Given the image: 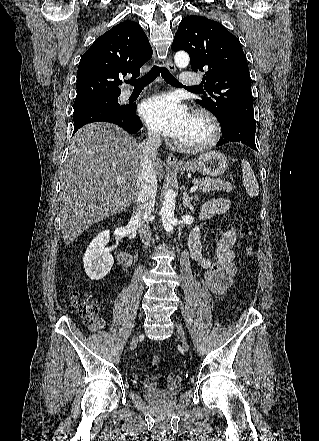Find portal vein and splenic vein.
Listing matches in <instances>:
<instances>
[{"mask_svg":"<svg viewBox=\"0 0 319 441\" xmlns=\"http://www.w3.org/2000/svg\"><path fill=\"white\" fill-rule=\"evenodd\" d=\"M117 181H118V182H123V178L119 176V177H117ZM197 189H198V186H193V187H191V188H190V193L195 192Z\"/></svg>","mask_w":319,"mask_h":441,"instance_id":"portal-vein-and-splenic-vein-1","label":"portal vein and splenic vein"}]
</instances>
